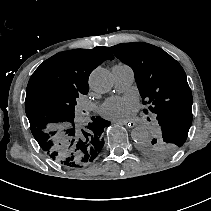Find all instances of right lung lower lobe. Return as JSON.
<instances>
[{"instance_id":"obj_1","label":"right lung lower lobe","mask_w":211,"mask_h":211,"mask_svg":"<svg viewBox=\"0 0 211 211\" xmlns=\"http://www.w3.org/2000/svg\"><path fill=\"white\" fill-rule=\"evenodd\" d=\"M102 121L106 122L108 125L110 122L104 120L101 118ZM34 126L33 123L30 124L31 130ZM104 145V139L102 136H95L90 143H84L82 142L80 145V149L83 152V161L84 163H90L92 162L100 153L101 149Z\"/></svg>"}]
</instances>
